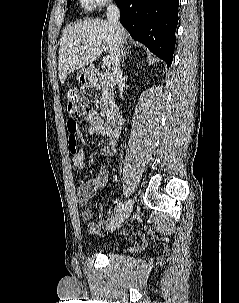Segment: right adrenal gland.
<instances>
[{
    "label": "right adrenal gland",
    "instance_id": "right-adrenal-gland-1",
    "mask_svg": "<svg viewBox=\"0 0 239 303\" xmlns=\"http://www.w3.org/2000/svg\"><path fill=\"white\" fill-rule=\"evenodd\" d=\"M129 54H131V53H128L127 52V50H126V48H123L122 49V52H121V59H122V64H124V60L127 58V57H129Z\"/></svg>",
    "mask_w": 239,
    "mask_h": 303
}]
</instances>
